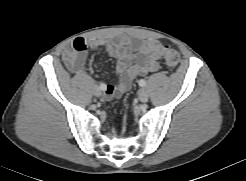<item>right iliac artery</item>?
I'll list each match as a JSON object with an SVG mask.
<instances>
[{
    "instance_id": "obj_1",
    "label": "right iliac artery",
    "mask_w": 246,
    "mask_h": 181,
    "mask_svg": "<svg viewBox=\"0 0 246 181\" xmlns=\"http://www.w3.org/2000/svg\"><path fill=\"white\" fill-rule=\"evenodd\" d=\"M99 88H100L101 90H104V89H105V86H104L103 84H100Z\"/></svg>"
}]
</instances>
